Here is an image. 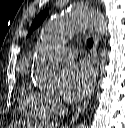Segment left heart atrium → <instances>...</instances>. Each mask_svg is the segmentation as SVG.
Returning <instances> with one entry per match:
<instances>
[{
	"label": "left heart atrium",
	"mask_w": 125,
	"mask_h": 128,
	"mask_svg": "<svg viewBox=\"0 0 125 128\" xmlns=\"http://www.w3.org/2000/svg\"><path fill=\"white\" fill-rule=\"evenodd\" d=\"M93 81V70L87 63L69 64L61 71L60 93L67 101L77 102L90 92Z\"/></svg>",
	"instance_id": "1"
}]
</instances>
